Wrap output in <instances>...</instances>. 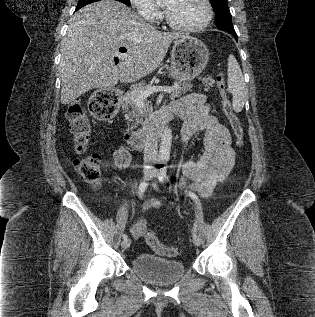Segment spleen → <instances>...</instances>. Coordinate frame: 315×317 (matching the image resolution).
Instances as JSON below:
<instances>
[{
	"label": "spleen",
	"mask_w": 315,
	"mask_h": 317,
	"mask_svg": "<svg viewBox=\"0 0 315 317\" xmlns=\"http://www.w3.org/2000/svg\"><path fill=\"white\" fill-rule=\"evenodd\" d=\"M228 89L233 96L234 111L241 112L247 100L248 90L241 68L232 54L228 57Z\"/></svg>",
	"instance_id": "1"
}]
</instances>
